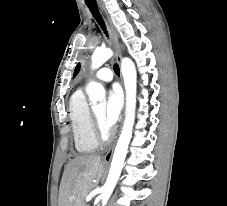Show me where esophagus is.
Instances as JSON below:
<instances>
[{
	"label": "esophagus",
	"mask_w": 227,
	"mask_h": 206,
	"mask_svg": "<svg viewBox=\"0 0 227 206\" xmlns=\"http://www.w3.org/2000/svg\"><path fill=\"white\" fill-rule=\"evenodd\" d=\"M100 8L102 10V12L104 13L105 16V21H106V25L108 28V31L110 33V36L112 38V41L114 43V47L117 53V60L120 62L122 59V51H121V47L118 41V35L116 32V29L109 17V15L107 14L106 10L104 9L103 5L100 3ZM113 151H114V144L111 146V148L108 150V152L105 154L104 156V161H110L113 155Z\"/></svg>",
	"instance_id": "esophagus-1"
}]
</instances>
